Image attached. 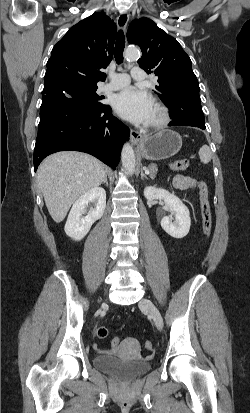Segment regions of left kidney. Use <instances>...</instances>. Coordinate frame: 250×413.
<instances>
[{"label": "left kidney", "mask_w": 250, "mask_h": 413, "mask_svg": "<svg viewBox=\"0 0 250 413\" xmlns=\"http://www.w3.org/2000/svg\"><path fill=\"white\" fill-rule=\"evenodd\" d=\"M144 196L148 200H164L172 215L175 216L174 222H172L171 216H165L161 220V226L167 234L177 239H181L188 234L191 225L190 212L177 196L153 186L144 189Z\"/></svg>", "instance_id": "1"}]
</instances>
